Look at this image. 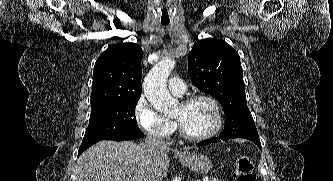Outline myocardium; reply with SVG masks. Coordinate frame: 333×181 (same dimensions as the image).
<instances>
[{
    "label": "myocardium",
    "mask_w": 333,
    "mask_h": 181,
    "mask_svg": "<svg viewBox=\"0 0 333 181\" xmlns=\"http://www.w3.org/2000/svg\"><path fill=\"white\" fill-rule=\"evenodd\" d=\"M199 100H204L212 106L214 115H215V121H214L213 127L208 132L200 134V135H193V134L188 133L183 128L181 123L178 121V127H179L181 136L190 141L207 140V139L213 137L215 134H217L222 127V110H221L220 104L214 97H212L210 95H206V94H197V95H193V96H190V97L184 99L181 102V104L188 105V104H191V103H193L195 101H199Z\"/></svg>",
    "instance_id": "1"
}]
</instances>
